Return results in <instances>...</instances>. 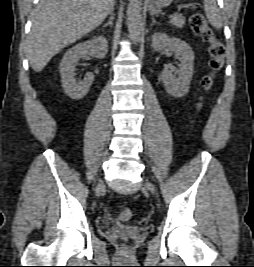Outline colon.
I'll return each mask as SVG.
<instances>
[{"label":"colon","instance_id":"colon-1","mask_svg":"<svg viewBox=\"0 0 254 267\" xmlns=\"http://www.w3.org/2000/svg\"><path fill=\"white\" fill-rule=\"evenodd\" d=\"M190 26L208 44L210 56L208 63L209 73L202 79L203 89L205 92H208L212 88L217 73L224 65L225 47L216 39L212 28L203 14L194 12L190 17ZM200 107L201 104L199 105ZM131 215L132 213L129 208H123L120 210L118 217L122 221H127L131 218Z\"/></svg>","mask_w":254,"mask_h":267}]
</instances>
